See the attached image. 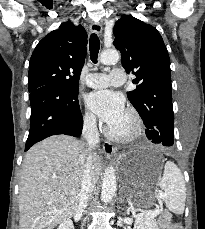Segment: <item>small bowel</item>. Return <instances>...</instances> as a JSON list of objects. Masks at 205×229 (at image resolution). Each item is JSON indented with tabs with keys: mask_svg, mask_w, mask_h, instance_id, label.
Returning a JSON list of instances; mask_svg holds the SVG:
<instances>
[{
	"mask_svg": "<svg viewBox=\"0 0 205 229\" xmlns=\"http://www.w3.org/2000/svg\"><path fill=\"white\" fill-rule=\"evenodd\" d=\"M168 229H181V228L178 224H173L170 227H168Z\"/></svg>",
	"mask_w": 205,
	"mask_h": 229,
	"instance_id": "small-bowel-1",
	"label": "small bowel"
}]
</instances>
